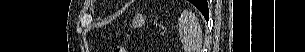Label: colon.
I'll list each match as a JSON object with an SVG mask.
<instances>
[{"instance_id":"5ec220e1","label":"colon","mask_w":305,"mask_h":52,"mask_svg":"<svg viewBox=\"0 0 305 52\" xmlns=\"http://www.w3.org/2000/svg\"><path fill=\"white\" fill-rule=\"evenodd\" d=\"M112 51L113 52H126V49L121 45H113Z\"/></svg>"}]
</instances>
